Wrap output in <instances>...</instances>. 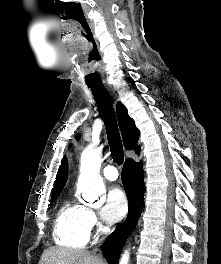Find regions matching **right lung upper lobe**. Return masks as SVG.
Listing matches in <instances>:
<instances>
[{
	"instance_id": "1",
	"label": "right lung upper lobe",
	"mask_w": 221,
	"mask_h": 264,
	"mask_svg": "<svg viewBox=\"0 0 221 264\" xmlns=\"http://www.w3.org/2000/svg\"><path fill=\"white\" fill-rule=\"evenodd\" d=\"M116 111L125 148L127 150H135L139 154L140 146L137 144L139 130L136 128L133 119L129 117L126 107L121 102L117 103ZM61 163L54 183L52 198L59 195L67 180L68 165L66 157Z\"/></svg>"
}]
</instances>
